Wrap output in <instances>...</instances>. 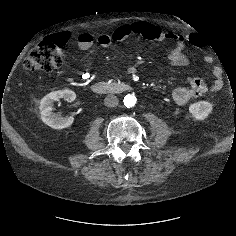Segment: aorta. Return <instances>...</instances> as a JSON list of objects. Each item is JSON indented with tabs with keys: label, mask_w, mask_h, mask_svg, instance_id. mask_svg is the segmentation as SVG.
<instances>
[{
	"label": "aorta",
	"mask_w": 236,
	"mask_h": 236,
	"mask_svg": "<svg viewBox=\"0 0 236 236\" xmlns=\"http://www.w3.org/2000/svg\"><path fill=\"white\" fill-rule=\"evenodd\" d=\"M136 97L133 95V94H128L124 97V105L127 107V108H130V107H133L135 106L136 104Z\"/></svg>",
	"instance_id": "obj_1"
}]
</instances>
